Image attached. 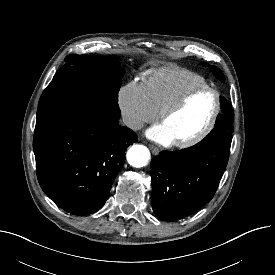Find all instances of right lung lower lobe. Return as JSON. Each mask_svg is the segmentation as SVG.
Segmentation results:
<instances>
[{"label":"right lung lower lobe","instance_id":"obj_1","mask_svg":"<svg viewBox=\"0 0 275 275\" xmlns=\"http://www.w3.org/2000/svg\"><path fill=\"white\" fill-rule=\"evenodd\" d=\"M118 119L89 109L59 115L35 128L33 149L42 190L63 210L101 209L137 135Z\"/></svg>","mask_w":275,"mask_h":275}]
</instances>
